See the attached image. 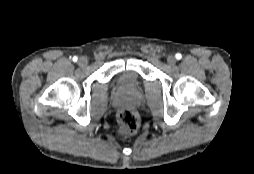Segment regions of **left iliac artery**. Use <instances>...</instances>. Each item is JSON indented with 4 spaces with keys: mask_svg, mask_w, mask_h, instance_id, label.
Segmentation results:
<instances>
[{
    "mask_svg": "<svg viewBox=\"0 0 254 174\" xmlns=\"http://www.w3.org/2000/svg\"><path fill=\"white\" fill-rule=\"evenodd\" d=\"M175 57H176V59L180 60V59L182 58V55H181L180 53H177V54L175 55Z\"/></svg>",
    "mask_w": 254,
    "mask_h": 174,
    "instance_id": "1",
    "label": "left iliac artery"
}]
</instances>
